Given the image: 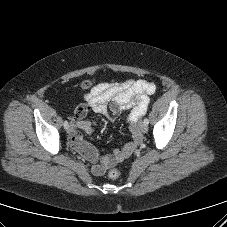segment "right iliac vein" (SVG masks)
<instances>
[{
	"mask_svg": "<svg viewBox=\"0 0 227 227\" xmlns=\"http://www.w3.org/2000/svg\"><path fill=\"white\" fill-rule=\"evenodd\" d=\"M68 133H72L74 131V125L70 124V126L67 128Z\"/></svg>",
	"mask_w": 227,
	"mask_h": 227,
	"instance_id": "obj_1",
	"label": "right iliac vein"
}]
</instances>
